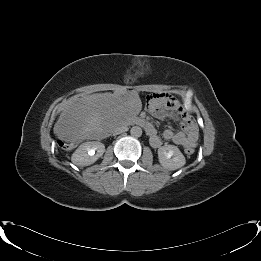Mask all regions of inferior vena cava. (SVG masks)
<instances>
[{
  "label": "inferior vena cava",
  "instance_id": "602c4592",
  "mask_svg": "<svg viewBox=\"0 0 261 261\" xmlns=\"http://www.w3.org/2000/svg\"><path fill=\"white\" fill-rule=\"evenodd\" d=\"M127 129H128L127 126H125V125H121V126H119V127L114 128V130H113V134H114V135L121 134V133L127 131Z\"/></svg>",
  "mask_w": 261,
  "mask_h": 261
}]
</instances>
